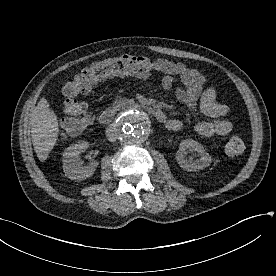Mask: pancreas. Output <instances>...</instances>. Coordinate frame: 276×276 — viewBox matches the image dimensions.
<instances>
[{
  "instance_id": "obj_1",
  "label": "pancreas",
  "mask_w": 276,
  "mask_h": 276,
  "mask_svg": "<svg viewBox=\"0 0 276 276\" xmlns=\"http://www.w3.org/2000/svg\"><path fill=\"white\" fill-rule=\"evenodd\" d=\"M134 103L133 99H128L126 97H117L113 103L114 106L116 107H123L126 105H131Z\"/></svg>"
}]
</instances>
